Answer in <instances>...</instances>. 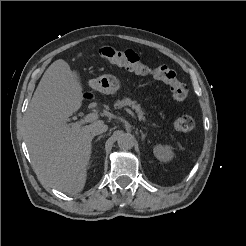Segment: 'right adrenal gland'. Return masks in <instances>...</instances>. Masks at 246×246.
<instances>
[{"instance_id": "1", "label": "right adrenal gland", "mask_w": 246, "mask_h": 246, "mask_svg": "<svg viewBox=\"0 0 246 246\" xmlns=\"http://www.w3.org/2000/svg\"><path fill=\"white\" fill-rule=\"evenodd\" d=\"M101 138H102V135H100V136L96 139V141H99Z\"/></svg>"}]
</instances>
